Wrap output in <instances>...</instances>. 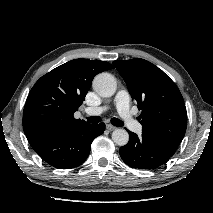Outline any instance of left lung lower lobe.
I'll return each instance as SVG.
<instances>
[{
	"label": "left lung lower lobe",
	"instance_id": "0a47b994",
	"mask_svg": "<svg viewBox=\"0 0 213 213\" xmlns=\"http://www.w3.org/2000/svg\"><path fill=\"white\" fill-rule=\"evenodd\" d=\"M129 142L120 148L122 160L137 169H156L175 153L178 146L152 138L142 132L141 136L128 131Z\"/></svg>",
	"mask_w": 213,
	"mask_h": 213
}]
</instances>
